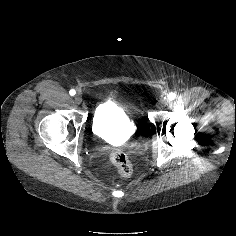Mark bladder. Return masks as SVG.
<instances>
[{
  "mask_svg": "<svg viewBox=\"0 0 236 236\" xmlns=\"http://www.w3.org/2000/svg\"><path fill=\"white\" fill-rule=\"evenodd\" d=\"M92 127L99 138L117 139L130 134L134 130V123L120 103L110 100L97 106Z\"/></svg>",
  "mask_w": 236,
  "mask_h": 236,
  "instance_id": "31cf9c89",
  "label": "bladder"
}]
</instances>
